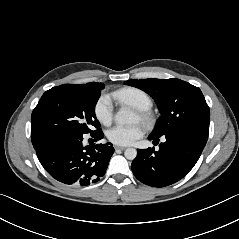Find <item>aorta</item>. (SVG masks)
Here are the masks:
<instances>
[{
  "instance_id": "obj_1",
  "label": "aorta",
  "mask_w": 239,
  "mask_h": 239,
  "mask_svg": "<svg viewBox=\"0 0 239 239\" xmlns=\"http://www.w3.org/2000/svg\"><path fill=\"white\" fill-rule=\"evenodd\" d=\"M115 121L121 125H129L136 121V115L132 110L123 107L116 113ZM124 155L128 160H134L137 156V151L134 148H127Z\"/></svg>"
}]
</instances>
